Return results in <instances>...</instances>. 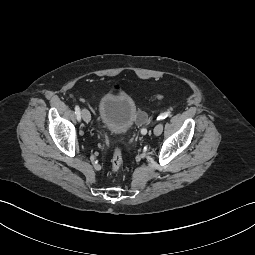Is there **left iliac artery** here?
Returning a JSON list of instances; mask_svg holds the SVG:
<instances>
[{
    "label": "left iliac artery",
    "instance_id": "44dca946",
    "mask_svg": "<svg viewBox=\"0 0 255 255\" xmlns=\"http://www.w3.org/2000/svg\"><path fill=\"white\" fill-rule=\"evenodd\" d=\"M170 115H171V112H170V111L164 112V113L160 114V115L157 117V120H163V119L167 118V117L170 116ZM146 132H147V129H146V128H143V129L141 130V133H142V134H145Z\"/></svg>",
    "mask_w": 255,
    "mask_h": 255
}]
</instances>
